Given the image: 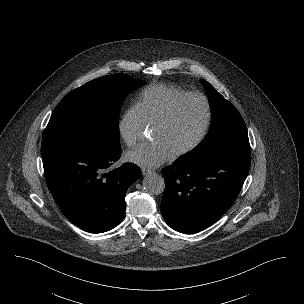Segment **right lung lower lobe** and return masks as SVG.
Returning <instances> with one entry per match:
<instances>
[{"label":"right lung lower lobe","mask_w":304,"mask_h":304,"mask_svg":"<svg viewBox=\"0 0 304 304\" xmlns=\"http://www.w3.org/2000/svg\"><path fill=\"white\" fill-rule=\"evenodd\" d=\"M120 152L83 144L41 150L50 192L62 213L84 231H109L124 217L126 191L141 171L132 163L112 169Z\"/></svg>","instance_id":"right-lung-lower-lobe-1"}]
</instances>
